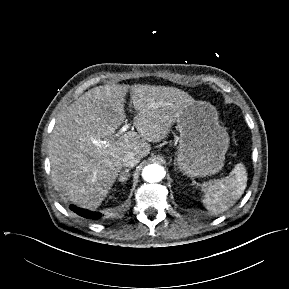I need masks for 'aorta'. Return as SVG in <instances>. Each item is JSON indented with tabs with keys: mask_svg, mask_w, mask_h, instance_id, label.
Returning a JSON list of instances; mask_svg holds the SVG:
<instances>
[{
	"mask_svg": "<svg viewBox=\"0 0 289 289\" xmlns=\"http://www.w3.org/2000/svg\"><path fill=\"white\" fill-rule=\"evenodd\" d=\"M142 177L149 183L159 182L165 177V170L158 164H150L144 167Z\"/></svg>",
	"mask_w": 289,
	"mask_h": 289,
	"instance_id": "obj_1",
	"label": "aorta"
}]
</instances>
